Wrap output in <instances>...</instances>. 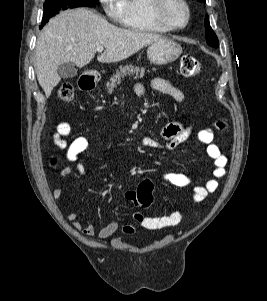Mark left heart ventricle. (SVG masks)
I'll return each mask as SVG.
<instances>
[{
    "instance_id": "obj_1",
    "label": "left heart ventricle",
    "mask_w": 267,
    "mask_h": 301,
    "mask_svg": "<svg viewBox=\"0 0 267 301\" xmlns=\"http://www.w3.org/2000/svg\"><path fill=\"white\" fill-rule=\"evenodd\" d=\"M168 18L175 24H183L186 18V12L178 0H171L166 9Z\"/></svg>"
}]
</instances>
